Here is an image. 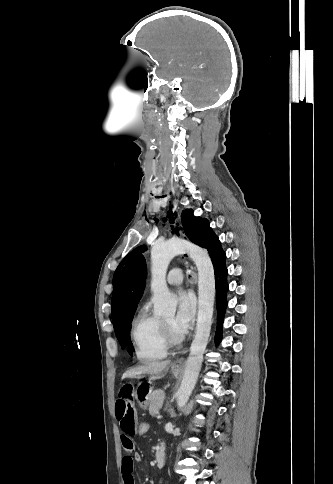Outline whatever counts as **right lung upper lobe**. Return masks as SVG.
I'll use <instances>...</instances> for the list:
<instances>
[{"mask_svg":"<svg viewBox=\"0 0 333 484\" xmlns=\"http://www.w3.org/2000/svg\"><path fill=\"white\" fill-rule=\"evenodd\" d=\"M146 262L142 255L131 259L123 269L112 295V320L115 332L134 314L146 285Z\"/></svg>","mask_w":333,"mask_h":484,"instance_id":"right-lung-upper-lobe-1","label":"right lung upper lobe"}]
</instances>
